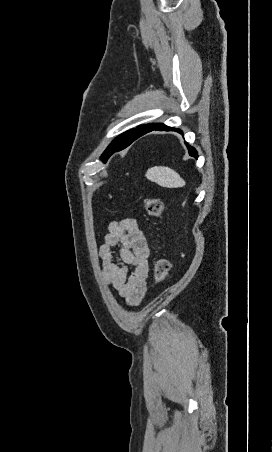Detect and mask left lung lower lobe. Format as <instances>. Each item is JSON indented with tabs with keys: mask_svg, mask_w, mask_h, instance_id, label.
Returning a JSON list of instances; mask_svg holds the SVG:
<instances>
[{
	"mask_svg": "<svg viewBox=\"0 0 272 452\" xmlns=\"http://www.w3.org/2000/svg\"><path fill=\"white\" fill-rule=\"evenodd\" d=\"M154 130H157V131H162V130H164V131H177L178 133L183 134L181 130H179V129H174V128H171V127H168V126H166V125H164V124H151V125H149L147 128H145V129H143L142 131L138 132L136 135H134V136H133L130 140H128L127 142L124 140L125 138H121V137L116 138V139L114 140V142H113V143L111 144V146H110V151H109L108 158H109L114 152H117V151H120V150L126 148V147L129 146L133 141H135L137 138L143 136V135L146 134V133H149V132H151V131H154ZM187 147H188V150H189V155L192 156V157L198 158V154H197V151L195 150V148H193L192 146H189V145H187ZM108 158H107V159H108ZM107 159H106V161H107Z\"/></svg>",
	"mask_w": 272,
	"mask_h": 452,
	"instance_id": "left-lung-lower-lobe-1",
	"label": "left lung lower lobe"
}]
</instances>
